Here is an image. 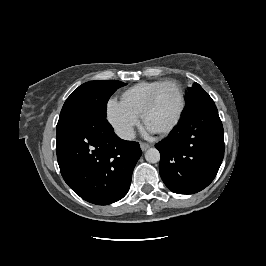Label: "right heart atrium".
<instances>
[{
	"label": "right heart atrium",
	"instance_id": "obj_1",
	"mask_svg": "<svg viewBox=\"0 0 266 266\" xmlns=\"http://www.w3.org/2000/svg\"><path fill=\"white\" fill-rule=\"evenodd\" d=\"M107 121L115 132L124 139L134 135V128L139 123V115L131 110L123 101L109 98L105 106Z\"/></svg>",
	"mask_w": 266,
	"mask_h": 266
}]
</instances>
